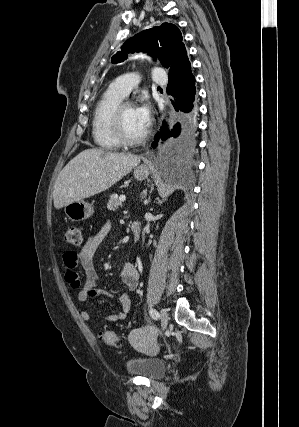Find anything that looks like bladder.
Segmentation results:
<instances>
[{
	"instance_id": "bladder-1",
	"label": "bladder",
	"mask_w": 299,
	"mask_h": 427,
	"mask_svg": "<svg viewBox=\"0 0 299 427\" xmlns=\"http://www.w3.org/2000/svg\"><path fill=\"white\" fill-rule=\"evenodd\" d=\"M166 363L155 357H135L126 361V369L130 374L158 379L166 372Z\"/></svg>"
}]
</instances>
